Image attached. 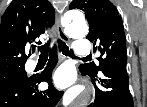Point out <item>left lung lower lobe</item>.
<instances>
[{
    "instance_id": "0a47b994",
    "label": "left lung lower lobe",
    "mask_w": 147,
    "mask_h": 107,
    "mask_svg": "<svg viewBox=\"0 0 147 107\" xmlns=\"http://www.w3.org/2000/svg\"><path fill=\"white\" fill-rule=\"evenodd\" d=\"M83 75L88 74L92 79L100 80V87H95V100L88 107H134L129 90V77L125 61H113L105 65L102 70V79L80 68Z\"/></svg>"
}]
</instances>
